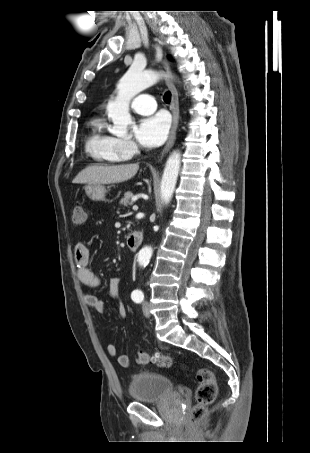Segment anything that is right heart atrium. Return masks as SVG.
<instances>
[{"instance_id":"d8ad5b80","label":"right heart atrium","mask_w":310,"mask_h":453,"mask_svg":"<svg viewBox=\"0 0 310 453\" xmlns=\"http://www.w3.org/2000/svg\"><path fill=\"white\" fill-rule=\"evenodd\" d=\"M118 143L122 152L128 157L135 155L138 151V146L130 139H118Z\"/></svg>"}]
</instances>
